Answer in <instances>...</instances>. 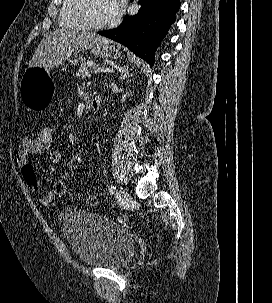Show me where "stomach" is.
I'll return each instance as SVG.
<instances>
[{
    "instance_id": "obj_1",
    "label": "stomach",
    "mask_w": 272,
    "mask_h": 303,
    "mask_svg": "<svg viewBox=\"0 0 272 303\" xmlns=\"http://www.w3.org/2000/svg\"><path fill=\"white\" fill-rule=\"evenodd\" d=\"M91 51L101 57L117 59L122 56L120 47L107 41L94 46ZM75 57L77 54L74 55ZM71 61V56L54 60L44 66L27 68L20 81V98L28 110H40L50 105L54 94V83L50 70L54 66Z\"/></svg>"
}]
</instances>
